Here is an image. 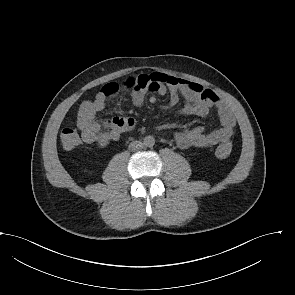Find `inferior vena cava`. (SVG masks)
<instances>
[{"label": "inferior vena cava", "mask_w": 295, "mask_h": 295, "mask_svg": "<svg viewBox=\"0 0 295 295\" xmlns=\"http://www.w3.org/2000/svg\"><path fill=\"white\" fill-rule=\"evenodd\" d=\"M143 148V143L140 141H133L129 144V150L138 151Z\"/></svg>", "instance_id": "inferior-vena-cava-1"}]
</instances>
